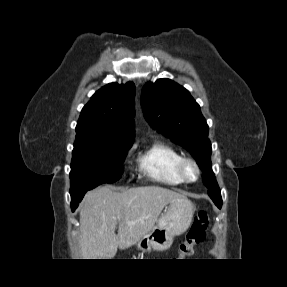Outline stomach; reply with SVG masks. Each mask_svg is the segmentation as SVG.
Returning a JSON list of instances; mask_svg holds the SVG:
<instances>
[{"label": "stomach", "mask_w": 287, "mask_h": 287, "mask_svg": "<svg viewBox=\"0 0 287 287\" xmlns=\"http://www.w3.org/2000/svg\"><path fill=\"white\" fill-rule=\"evenodd\" d=\"M195 210L193 203L187 198L170 202L157 224L136 243L137 249L143 252L168 249L174 237L188 229Z\"/></svg>", "instance_id": "0dacf381"}]
</instances>
